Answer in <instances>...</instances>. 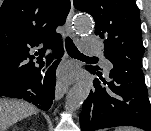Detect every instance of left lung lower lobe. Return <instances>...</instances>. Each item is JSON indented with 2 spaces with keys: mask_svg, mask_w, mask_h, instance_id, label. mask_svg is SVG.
Masks as SVG:
<instances>
[{
  "mask_svg": "<svg viewBox=\"0 0 151 131\" xmlns=\"http://www.w3.org/2000/svg\"><path fill=\"white\" fill-rule=\"evenodd\" d=\"M87 69L97 75L94 89L83 103L80 114L82 131L115 126H134L151 131V105L140 68L110 70V80L94 66Z\"/></svg>",
  "mask_w": 151,
  "mask_h": 131,
  "instance_id": "0a47b994",
  "label": "left lung lower lobe"
}]
</instances>
